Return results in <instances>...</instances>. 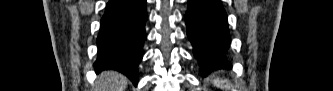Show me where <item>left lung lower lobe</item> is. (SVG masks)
Masks as SVG:
<instances>
[{"label":"left lung lower lobe","instance_id":"obj_1","mask_svg":"<svg viewBox=\"0 0 333 91\" xmlns=\"http://www.w3.org/2000/svg\"><path fill=\"white\" fill-rule=\"evenodd\" d=\"M185 14L187 36L202 67V74L230 68L226 52L230 44L227 14L220 0H189Z\"/></svg>","mask_w":333,"mask_h":91}]
</instances>
